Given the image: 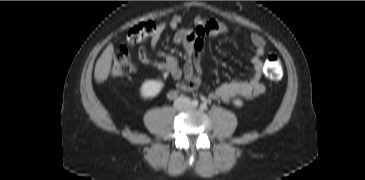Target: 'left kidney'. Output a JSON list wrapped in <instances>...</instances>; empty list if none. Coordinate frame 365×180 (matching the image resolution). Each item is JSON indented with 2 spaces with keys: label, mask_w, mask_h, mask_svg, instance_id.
Wrapping results in <instances>:
<instances>
[{
  "label": "left kidney",
  "mask_w": 365,
  "mask_h": 180,
  "mask_svg": "<svg viewBox=\"0 0 365 180\" xmlns=\"http://www.w3.org/2000/svg\"><path fill=\"white\" fill-rule=\"evenodd\" d=\"M233 104H234L235 106H237V107H242V106H243V102H242V100H240V99H235V100L233 101Z\"/></svg>",
  "instance_id": "left-kidney-1"
}]
</instances>
